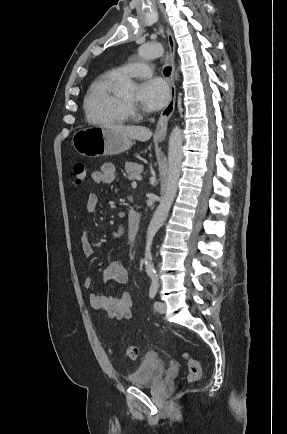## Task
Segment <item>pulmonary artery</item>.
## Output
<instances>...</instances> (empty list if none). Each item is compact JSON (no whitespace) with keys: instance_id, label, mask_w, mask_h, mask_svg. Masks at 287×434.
Returning a JSON list of instances; mask_svg holds the SVG:
<instances>
[{"instance_id":"pulmonary-artery-1","label":"pulmonary artery","mask_w":287,"mask_h":434,"mask_svg":"<svg viewBox=\"0 0 287 434\" xmlns=\"http://www.w3.org/2000/svg\"><path fill=\"white\" fill-rule=\"evenodd\" d=\"M124 78H144L152 74V66L148 62L140 61L123 65L117 69Z\"/></svg>"}]
</instances>
